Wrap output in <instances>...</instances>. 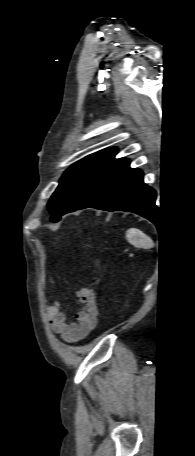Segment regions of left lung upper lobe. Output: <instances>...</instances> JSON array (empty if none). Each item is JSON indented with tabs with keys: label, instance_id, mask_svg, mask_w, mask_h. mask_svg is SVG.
I'll use <instances>...</instances> for the list:
<instances>
[{
	"label": "left lung upper lobe",
	"instance_id": "left-lung-upper-lobe-1",
	"mask_svg": "<svg viewBox=\"0 0 195 456\" xmlns=\"http://www.w3.org/2000/svg\"><path fill=\"white\" fill-rule=\"evenodd\" d=\"M117 149L108 148L91 154L67 169L53 193L48 210L53 222L77 210L106 182L123 158L114 159Z\"/></svg>",
	"mask_w": 195,
	"mask_h": 456
}]
</instances>
